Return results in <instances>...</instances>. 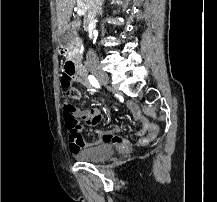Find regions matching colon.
Returning a JSON list of instances; mask_svg holds the SVG:
<instances>
[{"mask_svg":"<svg viewBox=\"0 0 217 202\" xmlns=\"http://www.w3.org/2000/svg\"><path fill=\"white\" fill-rule=\"evenodd\" d=\"M60 96H63V112H61V117H64L69 130L78 131L80 124L74 117V106L68 101L71 91H60Z\"/></svg>","mask_w":217,"mask_h":202,"instance_id":"obj_1","label":"colon"}]
</instances>
